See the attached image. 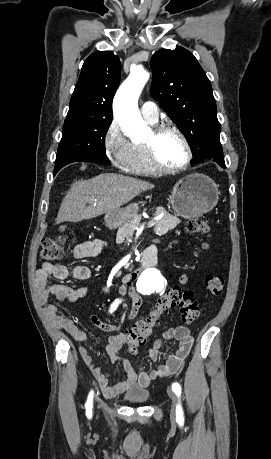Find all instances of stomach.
<instances>
[{"instance_id":"1","label":"stomach","mask_w":271,"mask_h":459,"mask_svg":"<svg viewBox=\"0 0 271 459\" xmlns=\"http://www.w3.org/2000/svg\"><path fill=\"white\" fill-rule=\"evenodd\" d=\"M171 204L177 216H182L186 220L203 216L215 208L219 200L218 188L205 174H191L185 176L175 184L172 192ZM137 204H131L122 210L108 212L105 216L108 226L126 224L137 214Z\"/></svg>"}]
</instances>
